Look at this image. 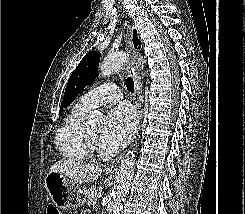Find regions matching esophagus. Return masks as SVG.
<instances>
[{
  "label": "esophagus",
  "instance_id": "esophagus-1",
  "mask_svg": "<svg viewBox=\"0 0 245 214\" xmlns=\"http://www.w3.org/2000/svg\"><path fill=\"white\" fill-rule=\"evenodd\" d=\"M125 49L129 53V56H130V61H129L127 69H128L129 74L133 77L134 83H135L133 100H134V103L138 109L137 121L139 124L141 122V118H142L141 107H142L143 100H142V96H141V83L139 80V64H138V60H137L138 55H137V52L134 49L133 44H132L131 27L129 24H128L127 29H126ZM124 156H125V153L121 154L118 158L113 160L112 165L114 166L115 164L122 161Z\"/></svg>",
  "mask_w": 245,
  "mask_h": 214
}]
</instances>
